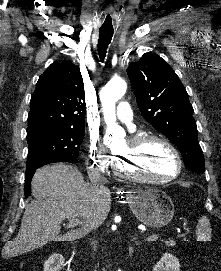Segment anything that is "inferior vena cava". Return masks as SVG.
<instances>
[{"label": "inferior vena cava", "mask_w": 221, "mask_h": 271, "mask_svg": "<svg viewBox=\"0 0 221 271\" xmlns=\"http://www.w3.org/2000/svg\"><path fill=\"white\" fill-rule=\"evenodd\" d=\"M104 183H107V179L104 175H100L96 181H93L92 187L98 195H101V197H110L109 189L104 185ZM96 227H98V225H90V229H94V231ZM90 245L93 251H97L99 245L98 239H92V241H90Z\"/></svg>", "instance_id": "inferior-vena-cava-1"}]
</instances>
